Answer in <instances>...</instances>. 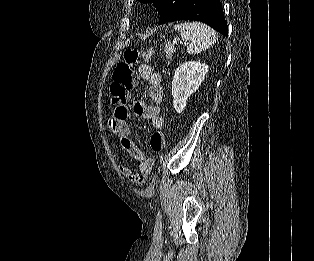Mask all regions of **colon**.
Returning <instances> with one entry per match:
<instances>
[{"mask_svg": "<svg viewBox=\"0 0 314 261\" xmlns=\"http://www.w3.org/2000/svg\"><path fill=\"white\" fill-rule=\"evenodd\" d=\"M153 54L154 50L151 48L146 50L128 48L125 50L124 60L116 65L109 87L113 106L126 104L129 92L135 85L134 66L139 61L149 60ZM164 146V133L162 129H157L150 137V147L154 152H161Z\"/></svg>", "mask_w": 314, "mask_h": 261, "instance_id": "obj_1", "label": "colon"}]
</instances>
